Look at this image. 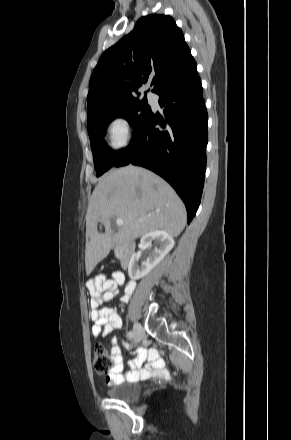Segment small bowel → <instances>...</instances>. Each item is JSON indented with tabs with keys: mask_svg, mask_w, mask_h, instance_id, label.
Segmentation results:
<instances>
[{
	"mask_svg": "<svg viewBox=\"0 0 291 440\" xmlns=\"http://www.w3.org/2000/svg\"><path fill=\"white\" fill-rule=\"evenodd\" d=\"M121 285H124V294L121 296V301L127 303L134 292L135 282L125 281L121 273H114L111 278L98 276L87 282V289L91 295L90 318L93 321L91 328L93 336L106 337L113 330L121 328L122 322L115 309L100 308L102 304L114 298L118 287ZM123 344L127 347L129 346L125 341ZM109 360L111 366L106 374V382L110 386H116L127 381H135L140 377H162L167 375L163 360L159 359L152 350H144L124 364L121 350L115 337L111 339ZM144 362H146V365L142 367Z\"/></svg>",
	"mask_w": 291,
	"mask_h": 440,
	"instance_id": "1",
	"label": "small bowel"
}]
</instances>
